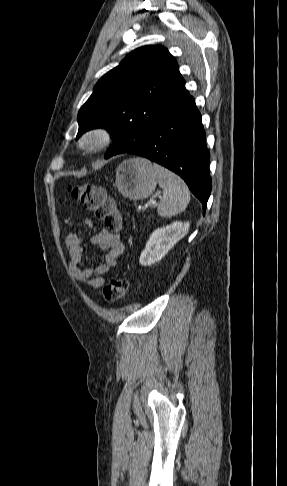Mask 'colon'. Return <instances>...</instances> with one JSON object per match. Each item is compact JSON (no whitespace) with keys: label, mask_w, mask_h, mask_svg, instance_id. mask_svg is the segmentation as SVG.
Wrapping results in <instances>:
<instances>
[{"label":"colon","mask_w":287,"mask_h":486,"mask_svg":"<svg viewBox=\"0 0 287 486\" xmlns=\"http://www.w3.org/2000/svg\"><path fill=\"white\" fill-rule=\"evenodd\" d=\"M71 196L91 212L97 219L102 220L110 232L119 231L122 227L121 216L114 200L108 196L106 190L98 185L83 183L68 188ZM128 281L121 278L111 279L103 288V298L108 303L122 299L128 289Z\"/></svg>","instance_id":"colon-1"}]
</instances>
